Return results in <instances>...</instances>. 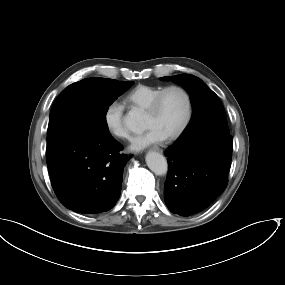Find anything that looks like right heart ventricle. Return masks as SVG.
Returning a JSON list of instances; mask_svg holds the SVG:
<instances>
[{"label":"right heart ventricle","instance_id":"obj_1","mask_svg":"<svg viewBox=\"0 0 285 285\" xmlns=\"http://www.w3.org/2000/svg\"><path fill=\"white\" fill-rule=\"evenodd\" d=\"M161 89H163L161 86L137 85L124 96L123 103L131 109L146 110Z\"/></svg>","mask_w":285,"mask_h":285}]
</instances>
